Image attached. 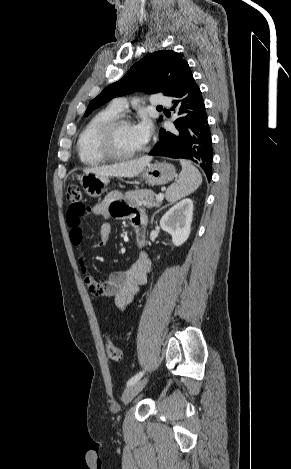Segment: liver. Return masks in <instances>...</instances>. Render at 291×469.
Here are the masks:
<instances>
[{"label": "liver", "instance_id": "1", "mask_svg": "<svg viewBox=\"0 0 291 469\" xmlns=\"http://www.w3.org/2000/svg\"><path fill=\"white\" fill-rule=\"evenodd\" d=\"M151 160V156H143L135 160L121 162L118 164L88 168L85 169L84 172L86 174L94 173L101 176L134 177L140 174Z\"/></svg>", "mask_w": 291, "mask_h": 469}]
</instances>
